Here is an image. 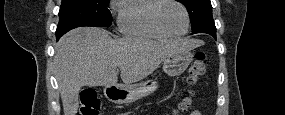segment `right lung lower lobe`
Listing matches in <instances>:
<instances>
[{"label": "right lung lower lobe", "instance_id": "right-lung-lower-lobe-1", "mask_svg": "<svg viewBox=\"0 0 285 115\" xmlns=\"http://www.w3.org/2000/svg\"><path fill=\"white\" fill-rule=\"evenodd\" d=\"M61 36H56L57 40L60 38Z\"/></svg>", "mask_w": 285, "mask_h": 115}]
</instances>
